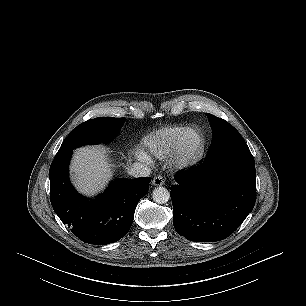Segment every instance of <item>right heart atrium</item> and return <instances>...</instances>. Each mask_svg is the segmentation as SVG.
<instances>
[{
	"instance_id": "right-heart-atrium-1",
	"label": "right heart atrium",
	"mask_w": 306,
	"mask_h": 306,
	"mask_svg": "<svg viewBox=\"0 0 306 306\" xmlns=\"http://www.w3.org/2000/svg\"><path fill=\"white\" fill-rule=\"evenodd\" d=\"M137 155L140 160L147 163L151 162L150 158L144 152L139 151L137 152Z\"/></svg>"
}]
</instances>
